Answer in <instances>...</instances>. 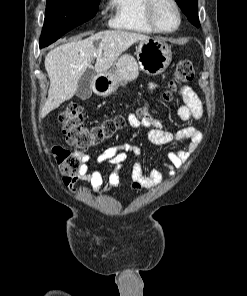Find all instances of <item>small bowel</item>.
I'll use <instances>...</instances> for the list:
<instances>
[{"label": "small bowel", "instance_id": "1", "mask_svg": "<svg viewBox=\"0 0 247 296\" xmlns=\"http://www.w3.org/2000/svg\"><path fill=\"white\" fill-rule=\"evenodd\" d=\"M156 88H158L156 84L149 85L150 92H153ZM178 93L183 100L176 111L178 118L183 122L200 119L203 116V107L196 92L189 86H181ZM129 124L134 129L144 128L151 143L157 145L170 144L172 146V150L167 153V160L163 163L165 174L169 179L177 175L178 170L202 140V133L192 126H185L175 132L166 130L157 116H144L139 119L131 114L129 115ZM76 154L80 160V167L74 181H86L94 190L105 193L121 185L118 171L130 154L139 157L141 149L136 145L124 144L104 150L99 155L98 162L113 166V170L107 178L99 169L89 167L90 155L79 152ZM163 176L164 172L158 168H152L148 174H145L142 163L136 161L132 167L131 187L137 191L152 189ZM71 191L76 192L75 189H71Z\"/></svg>", "mask_w": 247, "mask_h": 296}]
</instances>
